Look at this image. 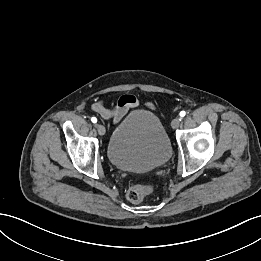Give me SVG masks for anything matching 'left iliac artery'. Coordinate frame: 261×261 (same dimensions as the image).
I'll return each instance as SVG.
<instances>
[{"label": "left iliac artery", "mask_w": 261, "mask_h": 261, "mask_svg": "<svg viewBox=\"0 0 261 261\" xmlns=\"http://www.w3.org/2000/svg\"><path fill=\"white\" fill-rule=\"evenodd\" d=\"M179 115H180V117H184L186 115V112L185 111H181Z\"/></svg>", "instance_id": "1"}]
</instances>
